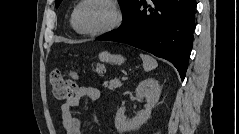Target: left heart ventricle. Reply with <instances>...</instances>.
I'll return each mask as SVG.
<instances>
[{"instance_id": "left-heart-ventricle-1", "label": "left heart ventricle", "mask_w": 239, "mask_h": 134, "mask_svg": "<svg viewBox=\"0 0 239 134\" xmlns=\"http://www.w3.org/2000/svg\"><path fill=\"white\" fill-rule=\"evenodd\" d=\"M112 20V12L104 3L92 1L84 4L77 16V25L84 31H96L106 27Z\"/></svg>"}]
</instances>
